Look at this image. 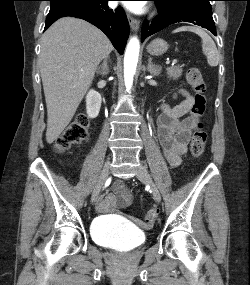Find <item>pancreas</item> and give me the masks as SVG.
<instances>
[{"label":"pancreas","mask_w":250,"mask_h":285,"mask_svg":"<svg viewBox=\"0 0 250 285\" xmlns=\"http://www.w3.org/2000/svg\"><path fill=\"white\" fill-rule=\"evenodd\" d=\"M166 70H167L168 78L172 80H177L182 75L183 66L175 65V66L168 67Z\"/></svg>","instance_id":"1"}]
</instances>
